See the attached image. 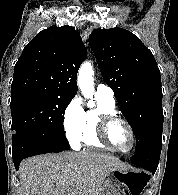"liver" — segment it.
Segmentation results:
<instances>
[{
    "label": "liver",
    "mask_w": 178,
    "mask_h": 195,
    "mask_svg": "<svg viewBox=\"0 0 178 195\" xmlns=\"http://www.w3.org/2000/svg\"><path fill=\"white\" fill-rule=\"evenodd\" d=\"M118 169L127 165L94 152L35 156L21 163L19 195H100L106 177Z\"/></svg>",
    "instance_id": "1"
}]
</instances>
